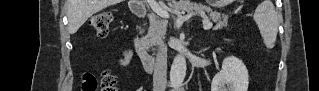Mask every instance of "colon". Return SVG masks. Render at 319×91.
Instances as JSON below:
<instances>
[{
	"label": "colon",
	"instance_id": "5ec220e1",
	"mask_svg": "<svg viewBox=\"0 0 319 91\" xmlns=\"http://www.w3.org/2000/svg\"><path fill=\"white\" fill-rule=\"evenodd\" d=\"M112 15L108 12H99L93 15L89 20L90 27L99 36L108 33ZM116 79L109 73H104L98 80L93 75L86 74L83 76L81 90L82 91H113L115 90Z\"/></svg>",
	"mask_w": 319,
	"mask_h": 91
}]
</instances>
